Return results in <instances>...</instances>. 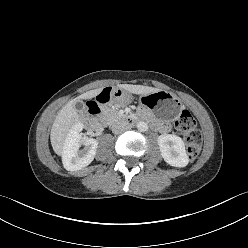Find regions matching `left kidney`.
<instances>
[{
  "mask_svg": "<svg viewBox=\"0 0 248 248\" xmlns=\"http://www.w3.org/2000/svg\"><path fill=\"white\" fill-rule=\"evenodd\" d=\"M161 155L165 162L174 167H185L189 158L183 140L174 134L160 135L157 139Z\"/></svg>",
  "mask_w": 248,
  "mask_h": 248,
  "instance_id": "1",
  "label": "left kidney"
}]
</instances>
